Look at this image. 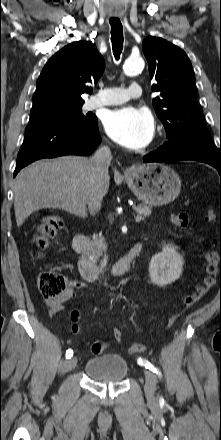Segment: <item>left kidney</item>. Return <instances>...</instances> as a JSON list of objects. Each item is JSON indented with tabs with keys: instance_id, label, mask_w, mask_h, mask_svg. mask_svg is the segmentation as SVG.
Listing matches in <instances>:
<instances>
[{
	"instance_id": "1",
	"label": "left kidney",
	"mask_w": 221,
	"mask_h": 440,
	"mask_svg": "<svg viewBox=\"0 0 221 440\" xmlns=\"http://www.w3.org/2000/svg\"><path fill=\"white\" fill-rule=\"evenodd\" d=\"M183 258L172 244H163L162 251L151 258L149 275L157 286H166L177 280L182 274Z\"/></svg>"
}]
</instances>
